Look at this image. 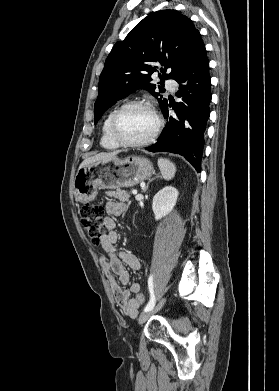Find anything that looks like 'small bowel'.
Returning <instances> with one entry per match:
<instances>
[{
	"label": "small bowel",
	"mask_w": 279,
	"mask_h": 391,
	"mask_svg": "<svg viewBox=\"0 0 279 391\" xmlns=\"http://www.w3.org/2000/svg\"><path fill=\"white\" fill-rule=\"evenodd\" d=\"M124 210L125 204L121 202L110 201L105 204L107 216L104 218L105 231L101 237V246L105 254L100 258V265L107 275L114 298L122 312L134 318L140 307L136 296L141 294V286L133 283L129 289H124L120 284L126 285L129 282V273L125 266L139 270L141 262L135 255L118 251L116 248L118 232L113 217L121 215Z\"/></svg>",
	"instance_id": "small-bowel-1"
}]
</instances>
